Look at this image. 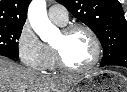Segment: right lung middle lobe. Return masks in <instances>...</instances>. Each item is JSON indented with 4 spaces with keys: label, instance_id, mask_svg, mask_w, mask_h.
<instances>
[{
    "label": "right lung middle lobe",
    "instance_id": "dd1d6c3e",
    "mask_svg": "<svg viewBox=\"0 0 127 92\" xmlns=\"http://www.w3.org/2000/svg\"><path fill=\"white\" fill-rule=\"evenodd\" d=\"M23 26H0V54L16 58L19 56L18 42Z\"/></svg>",
    "mask_w": 127,
    "mask_h": 92
}]
</instances>
